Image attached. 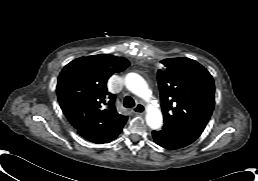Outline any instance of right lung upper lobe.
<instances>
[{"mask_svg": "<svg viewBox=\"0 0 258 181\" xmlns=\"http://www.w3.org/2000/svg\"><path fill=\"white\" fill-rule=\"evenodd\" d=\"M129 65L125 58L99 54L75 59L63 68L57 83L58 101L78 132L127 119L116 111L115 96L106 83Z\"/></svg>", "mask_w": 258, "mask_h": 181, "instance_id": "right-lung-upper-lobe-1", "label": "right lung upper lobe"}]
</instances>
